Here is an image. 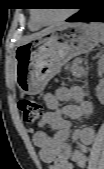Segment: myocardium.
<instances>
[{
    "instance_id": "1",
    "label": "myocardium",
    "mask_w": 104,
    "mask_h": 169,
    "mask_svg": "<svg viewBox=\"0 0 104 169\" xmlns=\"http://www.w3.org/2000/svg\"><path fill=\"white\" fill-rule=\"evenodd\" d=\"M71 12L70 10H68L66 13H64L62 16H60L59 18L52 20V21H43L41 20L38 16L34 15V19L39 23V24H43V25H50V24H55V23H59L61 21L66 20L69 16H70Z\"/></svg>"
}]
</instances>
